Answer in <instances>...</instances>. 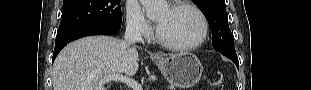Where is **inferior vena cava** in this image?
<instances>
[{"instance_id": "602c4592", "label": "inferior vena cava", "mask_w": 311, "mask_h": 90, "mask_svg": "<svg viewBox=\"0 0 311 90\" xmlns=\"http://www.w3.org/2000/svg\"><path fill=\"white\" fill-rule=\"evenodd\" d=\"M124 41L126 42V53L124 59L128 60L127 64L131 70L138 66L137 48L140 47V42H143L141 30L135 24H128L125 31Z\"/></svg>"}]
</instances>
